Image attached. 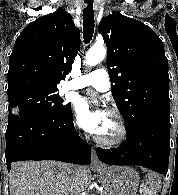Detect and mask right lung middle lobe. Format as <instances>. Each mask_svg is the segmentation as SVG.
Segmentation results:
<instances>
[{
  "mask_svg": "<svg viewBox=\"0 0 178 195\" xmlns=\"http://www.w3.org/2000/svg\"><path fill=\"white\" fill-rule=\"evenodd\" d=\"M58 89H29L18 94L8 96L9 112L28 111L35 113H63L70 110L71 105L63 104Z\"/></svg>",
  "mask_w": 178,
  "mask_h": 195,
  "instance_id": "dd1d6c3e",
  "label": "right lung middle lobe"
}]
</instances>
